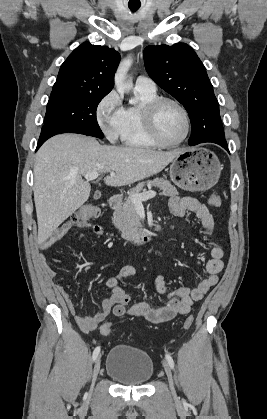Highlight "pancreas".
<instances>
[{"label": "pancreas", "instance_id": "pancreas-1", "mask_svg": "<svg viewBox=\"0 0 267 419\" xmlns=\"http://www.w3.org/2000/svg\"><path fill=\"white\" fill-rule=\"evenodd\" d=\"M157 186L161 190V195L174 197L178 195L177 189L164 178H155L146 182L139 183L136 187L130 190L129 197L119 206L113 213V224L122 233L125 239L135 238L140 227L139 216L136 212L135 204L131 197L134 194H141L145 192L144 186Z\"/></svg>", "mask_w": 267, "mask_h": 419}]
</instances>
